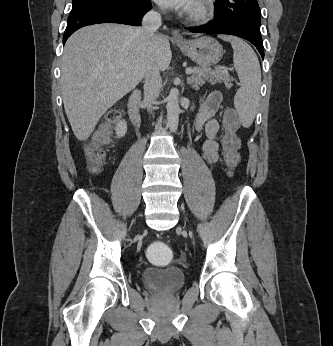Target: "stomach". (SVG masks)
Wrapping results in <instances>:
<instances>
[{"label": "stomach", "mask_w": 333, "mask_h": 346, "mask_svg": "<svg viewBox=\"0 0 333 346\" xmlns=\"http://www.w3.org/2000/svg\"><path fill=\"white\" fill-rule=\"evenodd\" d=\"M180 50L202 67L209 68L223 57L222 46L211 37H200L194 40L177 43Z\"/></svg>", "instance_id": "1"}]
</instances>
